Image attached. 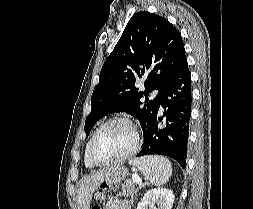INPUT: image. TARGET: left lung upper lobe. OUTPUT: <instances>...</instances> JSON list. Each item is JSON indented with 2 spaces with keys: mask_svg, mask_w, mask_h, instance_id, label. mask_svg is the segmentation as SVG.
Returning a JSON list of instances; mask_svg holds the SVG:
<instances>
[{
  "mask_svg": "<svg viewBox=\"0 0 253 209\" xmlns=\"http://www.w3.org/2000/svg\"><path fill=\"white\" fill-rule=\"evenodd\" d=\"M185 58L181 34L167 19L146 11L135 13L101 69L85 121L86 137L99 119L123 111L140 120L145 137L164 86ZM140 78L146 79L145 91L135 87ZM154 89L158 94L149 99Z\"/></svg>",
  "mask_w": 253,
  "mask_h": 209,
  "instance_id": "5c2ea615",
  "label": "left lung upper lobe"
}]
</instances>
